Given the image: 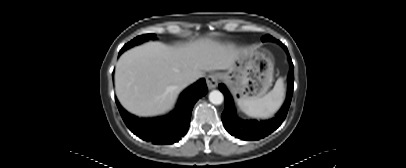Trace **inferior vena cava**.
I'll list each match as a JSON object with an SVG mask.
<instances>
[{
    "label": "inferior vena cava",
    "instance_id": "obj_1",
    "mask_svg": "<svg viewBox=\"0 0 406 168\" xmlns=\"http://www.w3.org/2000/svg\"><path fill=\"white\" fill-rule=\"evenodd\" d=\"M199 78L197 75H187L184 77L183 82L184 84L188 85L194 81H196Z\"/></svg>",
    "mask_w": 406,
    "mask_h": 168
}]
</instances>
